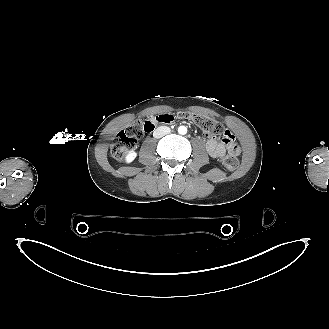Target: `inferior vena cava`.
<instances>
[{"label": "inferior vena cava", "mask_w": 329, "mask_h": 329, "mask_svg": "<svg viewBox=\"0 0 329 329\" xmlns=\"http://www.w3.org/2000/svg\"><path fill=\"white\" fill-rule=\"evenodd\" d=\"M170 131H171V129L169 127L160 126L153 132V137L159 139V138L165 136L166 134H169Z\"/></svg>", "instance_id": "obj_1"}]
</instances>
